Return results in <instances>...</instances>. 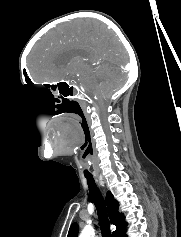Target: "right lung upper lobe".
I'll return each instance as SVG.
<instances>
[{
  "instance_id": "1",
  "label": "right lung upper lobe",
  "mask_w": 181,
  "mask_h": 237,
  "mask_svg": "<svg viewBox=\"0 0 181 237\" xmlns=\"http://www.w3.org/2000/svg\"><path fill=\"white\" fill-rule=\"evenodd\" d=\"M107 210L110 218V222L116 226V230L113 232V237H126L127 223L124 221L125 217L123 213H119V203L114 199L111 192L106 195ZM78 225L73 223L69 229L68 237H77Z\"/></svg>"
}]
</instances>
